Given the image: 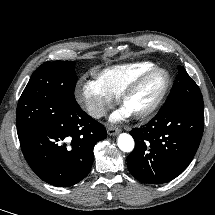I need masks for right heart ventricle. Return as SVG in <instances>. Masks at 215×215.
Returning <instances> with one entry per match:
<instances>
[{
    "label": "right heart ventricle",
    "instance_id": "e07e8e85",
    "mask_svg": "<svg viewBox=\"0 0 215 215\" xmlns=\"http://www.w3.org/2000/svg\"><path fill=\"white\" fill-rule=\"evenodd\" d=\"M153 66L149 61L113 65L95 73V79L117 96L133 79Z\"/></svg>",
    "mask_w": 215,
    "mask_h": 215
}]
</instances>
